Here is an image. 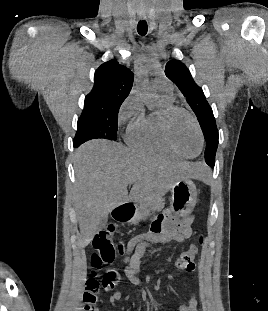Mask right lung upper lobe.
Masks as SVG:
<instances>
[{"label": "right lung upper lobe", "instance_id": "right-lung-upper-lobe-1", "mask_svg": "<svg viewBox=\"0 0 268 311\" xmlns=\"http://www.w3.org/2000/svg\"><path fill=\"white\" fill-rule=\"evenodd\" d=\"M132 84V71L112 59L96 70L93 89L85 99L122 104L129 95Z\"/></svg>", "mask_w": 268, "mask_h": 311}]
</instances>
